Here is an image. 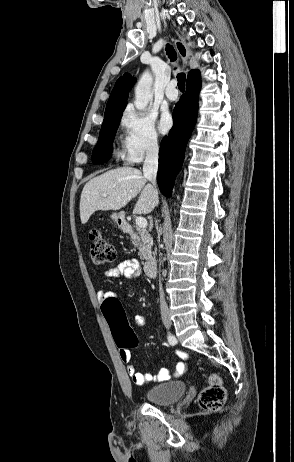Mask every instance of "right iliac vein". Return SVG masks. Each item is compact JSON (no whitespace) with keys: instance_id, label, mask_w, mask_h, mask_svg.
I'll return each instance as SVG.
<instances>
[{"instance_id":"1","label":"right iliac vein","mask_w":294,"mask_h":462,"mask_svg":"<svg viewBox=\"0 0 294 462\" xmlns=\"http://www.w3.org/2000/svg\"><path fill=\"white\" fill-rule=\"evenodd\" d=\"M163 321H164L165 326L169 327V325H170L169 316L165 315L163 317Z\"/></svg>"}]
</instances>
